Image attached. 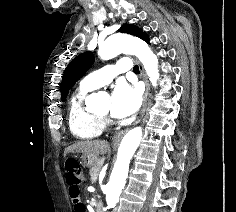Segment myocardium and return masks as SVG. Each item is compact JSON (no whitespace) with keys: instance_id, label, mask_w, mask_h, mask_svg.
I'll return each mask as SVG.
<instances>
[{"instance_id":"f54148a6","label":"myocardium","mask_w":236,"mask_h":212,"mask_svg":"<svg viewBox=\"0 0 236 212\" xmlns=\"http://www.w3.org/2000/svg\"><path fill=\"white\" fill-rule=\"evenodd\" d=\"M99 116L104 120H109V118H110L108 114H101Z\"/></svg>"}]
</instances>
